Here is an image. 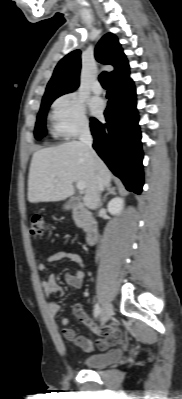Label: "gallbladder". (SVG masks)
I'll return each instance as SVG.
<instances>
[{"label":"gallbladder","mask_w":182,"mask_h":399,"mask_svg":"<svg viewBox=\"0 0 182 399\" xmlns=\"http://www.w3.org/2000/svg\"><path fill=\"white\" fill-rule=\"evenodd\" d=\"M78 202H79V198L73 197L63 206V209L69 210V209L73 208Z\"/></svg>","instance_id":"1"}]
</instances>
